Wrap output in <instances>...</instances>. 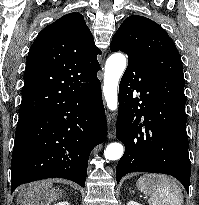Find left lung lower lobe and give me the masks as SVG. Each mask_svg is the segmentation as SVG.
Wrapping results in <instances>:
<instances>
[{"instance_id": "1", "label": "left lung lower lobe", "mask_w": 199, "mask_h": 205, "mask_svg": "<svg viewBox=\"0 0 199 205\" xmlns=\"http://www.w3.org/2000/svg\"><path fill=\"white\" fill-rule=\"evenodd\" d=\"M135 92L140 95L133 97ZM185 104V97L167 91L143 64L128 56L119 85L116 136L125 152L117 164V183L131 172L163 173L177 178L188 192L191 164Z\"/></svg>"}]
</instances>
